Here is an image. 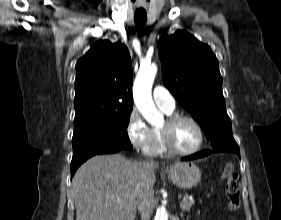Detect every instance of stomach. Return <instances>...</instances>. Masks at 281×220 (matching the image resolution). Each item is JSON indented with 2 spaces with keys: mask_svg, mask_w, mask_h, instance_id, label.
Masks as SVG:
<instances>
[{
  "mask_svg": "<svg viewBox=\"0 0 281 220\" xmlns=\"http://www.w3.org/2000/svg\"><path fill=\"white\" fill-rule=\"evenodd\" d=\"M168 175L170 180L182 189L196 186L201 179V171L192 162H176L170 167Z\"/></svg>",
  "mask_w": 281,
  "mask_h": 220,
  "instance_id": "1",
  "label": "stomach"
}]
</instances>
